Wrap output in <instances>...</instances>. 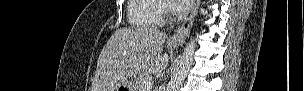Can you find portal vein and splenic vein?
<instances>
[{
  "label": "portal vein and splenic vein",
  "instance_id": "1",
  "mask_svg": "<svg viewBox=\"0 0 304 91\" xmlns=\"http://www.w3.org/2000/svg\"><path fill=\"white\" fill-rule=\"evenodd\" d=\"M152 86H153V82L152 81L144 82L142 84L141 91H150V89L152 88Z\"/></svg>",
  "mask_w": 304,
  "mask_h": 91
}]
</instances>
